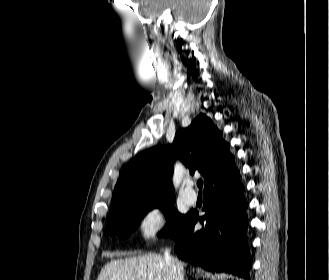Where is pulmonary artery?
I'll list each match as a JSON object with an SVG mask.
<instances>
[{
  "instance_id": "pulmonary-artery-1",
  "label": "pulmonary artery",
  "mask_w": 329,
  "mask_h": 280,
  "mask_svg": "<svg viewBox=\"0 0 329 280\" xmlns=\"http://www.w3.org/2000/svg\"><path fill=\"white\" fill-rule=\"evenodd\" d=\"M182 197L184 201L189 204L193 205L197 201V194L192 189V184H188L187 187H185L182 191Z\"/></svg>"
}]
</instances>
